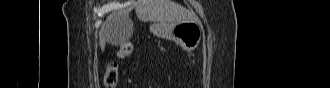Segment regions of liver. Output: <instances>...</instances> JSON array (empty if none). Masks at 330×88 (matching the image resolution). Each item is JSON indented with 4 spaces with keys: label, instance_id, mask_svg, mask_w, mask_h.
<instances>
[{
    "label": "liver",
    "instance_id": "6515ba94",
    "mask_svg": "<svg viewBox=\"0 0 330 88\" xmlns=\"http://www.w3.org/2000/svg\"><path fill=\"white\" fill-rule=\"evenodd\" d=\"M136 15L141 21H152L160 24H177L187 22L189 20H196L194 13L188 11L181 5L173 2L172 0H136L133 4ZM126 12L112 14L108 16L106 21L102 24L100 35V46L104 49L106 42L116 44L114 36V27L119 23L120 17L124 16V21H128V13ZM133 25V24H132Z\"/></svg>",
    "mask_w": 330,
    "mask_h": 88
}]
</instances>
